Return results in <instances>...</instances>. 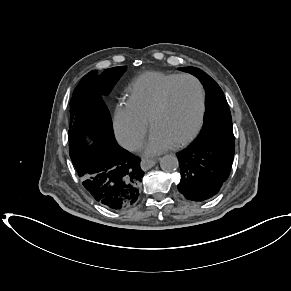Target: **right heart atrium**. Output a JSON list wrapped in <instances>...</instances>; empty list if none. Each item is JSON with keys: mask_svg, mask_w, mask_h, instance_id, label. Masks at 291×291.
<instances>
[{"mask_svg": "<svg viewBox=\"0 0 291 291\" xmlns=\"http://www.w3.org/2000/svg\"><path fill=\"white\" fill-rule=\"evenodd\" d=\"M114 128L118 140L130 150L139 149L148 132L147 122L133 114L127 103H121L117 107Z\"/></svg>", "mask_w": 291, "mask_h": 291, "instance_id": "obj_1", "label": "right heart atrium"}]
</instances>
